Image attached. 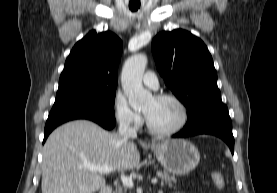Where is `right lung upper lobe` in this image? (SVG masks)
Wrapping results in <instances>:
<instances>
[{
    "label": "right lung upper lobe",
    "mask_w": 277,
    "mask_h": 193,
    "mask_svg": "<svg viewBox=\"0 0 277 193\" xmlns=\"http://www.w3.org/2000/svg\"><path fill=\"white\" fill-rule=\"evenodd\" d=\"M122 41L111 32L90 31L78 41L66 59L58 91L83 86H117Z\"/></svg>",
    "instance_id": "1"
}]
</instances>
